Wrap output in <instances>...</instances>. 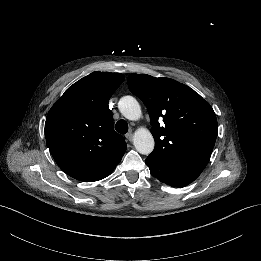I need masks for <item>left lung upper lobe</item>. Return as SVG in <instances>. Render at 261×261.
<instances>
[{
	"instance_id": "1",
	"label": "left lung upper lobe",
	"mask_w": 261,
	"mask_h": 261,
	"mask_svg": "<svg viewBox=\"0 0 261 261\" xmlns=\"http://www.w3.org/2000/svg\"><path fill=\"white\" fill-rule=\"evenodd\" d=\"M130 91L146 105L155 148L148 156L170 167L202 172L217 133L210 104L190 87L170 78L128 76ZM164 124H160L162 120Z\"/></svg>"
}]
</instances>
